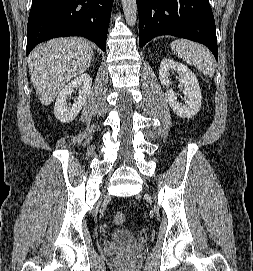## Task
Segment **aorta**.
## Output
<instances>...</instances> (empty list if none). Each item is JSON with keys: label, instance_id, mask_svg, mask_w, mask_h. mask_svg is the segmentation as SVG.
<instances>
[{"label": "aorta", "instance_id": "1", "mask_svg": "<svg viewBox=\"0 0 253 271\" xmlns=\"http://www.w3.org/2000/svg\"><path fill=\"white\" fill-rule=\"evenodd\" d=\"M126 23L134 26L137 20V3L136 0H121Z\"/></svg>", "mask_w": 253, "mask_h": 271}]
</instances>
